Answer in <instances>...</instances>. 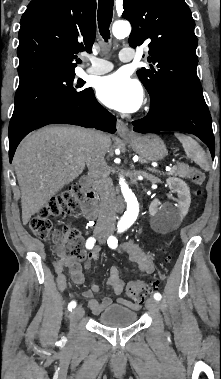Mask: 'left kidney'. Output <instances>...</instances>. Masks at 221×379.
<instances>
[{
    "mask_svg": "<svg viewBox=\"0 0 221 379\" xmlns=\"http://www.w3.org/2000/svg\"><path fill=\"white\" fill-rule=\"evenodd\" d=\"M167 184L171 191L176 192L178 195L179 200L176 207L164 205L158 210L160 205L158 200L152 201L149 207L153 225L162 230L177 227L187 215L191 203L190 189L183 180L170 177L167 179Z\"/></svg>",
    "mask_w": 221,
    "mask_h": 379,
    "instance_id": "1",
    "label": "left kidney"
}]
</instances>
